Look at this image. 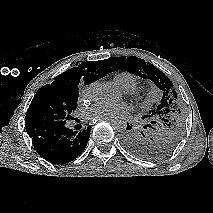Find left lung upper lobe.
Instances as JSON below:
<instances>
[{
    "label": "left lung upper lobe",
    "instance_id": "left-lung-upper-lobe-1",
    "mask_svg": "<svg viewBox=\"0 0 213 213\" xmlns=\"http://www.w3.org/2000/svg\"><path fill=\"white\" fill-rule=\"evenodd\" d=\"M109 72L124 70L151 80L162 92L160 103L144 115L145 125L139 129L131 126L123 136L125 147L144 159H159L171 153L184 131V111L173 83L156 66L135 56L112 57L104 61Z\"/></svg>",
    "mask_w": 213,
    "mask_h": 213
}]
</instances>
